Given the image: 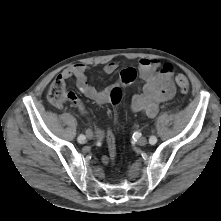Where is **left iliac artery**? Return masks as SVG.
Returning <instances> with one entry per match:
<instances>
[{"label":"left iliac artery","instance_id":"left-iliac-artery-1","mask_svg":"<svg viewBox=\"0 0 221 221\" xmlns=\"http://www.w3.org/2000/svg\"><path fill=\"white\" fill-rule=\"evenodd\" d=\"M156 142H157L156 136H151V137L149 138V143H150V144L154 145Z\"/></svg>","mask_w":221,"mask_h":221}]
</instances>
